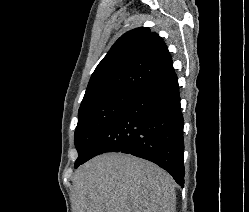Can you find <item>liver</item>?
<instances>
[{
	"label": "liver",
	"mask_w": 249,
	"mask_h": 212,
	"mask_svg": "<svg viewBox=\"0 0 249 212\" xmlns=\"http://www.w3.org/2000/svg\"><path fill=\"white\" fill-rule=\"evenodd\" d=\"M74 212H175V182L130 154H102L76 170Z\"/></svg>",
	"instance_id": "obj_1"
}]
</instances>
